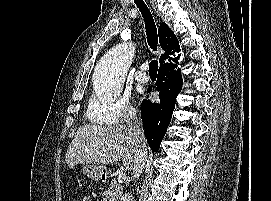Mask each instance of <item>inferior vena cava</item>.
Here are the masks:
<instances>
[{
  "instance_id": "1",
  "label": "inferior vena cava",
  "mask_w": 271,
  "mask_h": 201,
  "mask_svg": "<svg viewBox=\"0 0 271 201\" xmlns=\"http://www.w3.org/2000/svg\"><path fill=\"white\" fill-rule=\"evenodd\" d=\"M129 135L136 145V160L133 166V179H138L143 172L147 160V147L144 128L136 113H131L127 120ZM132 195L126 194L123 201H132Z\"/></svg>"
}]
</instances>
